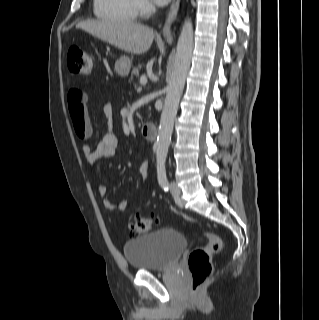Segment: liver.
Returning a JSON list of instances; mask_svg holds the SVG:
<instances>
[{
  "label": "liver",
  "instance_id": "liver-1",
  "mask_svg": "<svg viewBox=\"0 0 319 320\" xmlns=\"http://www.w3.org/2000/svg\"><path fill=\"white\" fill-rule=\"evenodd\" d=\"M76 27L136 55L148 51L155 37L152 28L125 20H86Z\"/></svg>",
  "mask_w": 319,
  "mask_h": 320
}]
</instances>
